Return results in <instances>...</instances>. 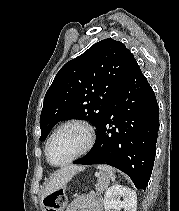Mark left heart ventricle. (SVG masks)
<instances>
[{"instance_id":"b2bd125f","label":"left heart ventricle","mask_w":179,"mask_h":211,"mask_svg":"<svg viewBox=\"0 0 179 211\" xmlns=\"http://www.w3.org/2000/svg\"><path fill=\"white\" fill-rule=\"evenodd\" d=\"M86 135L83 129L69 126L59 131L52 139L48 154L52 163L61 164L72 158L84 145Z\"/></svg>"}]
</instances>
